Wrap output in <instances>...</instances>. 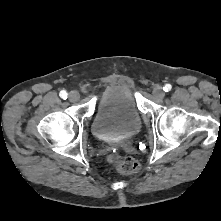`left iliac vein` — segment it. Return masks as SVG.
Returning <instances> with one entry per match:
<instances>
[{"mask_svg":"<svg viewBox=\"0 0 221 221\" xmlns=\"http://www.w3.org/2000/svg\"><path fill=\"white\" fill-rule=\"evenodd\" d=\"M153 95H154L156 98L162 99V98L165 96V93H164L162 87H160V86H155V87L153 88Z\"/></svg>","mask_w":221,"mask_h":221,"instance_id":"left-iliac-vein-1","label":"left iliac vein"}]
</instances>
